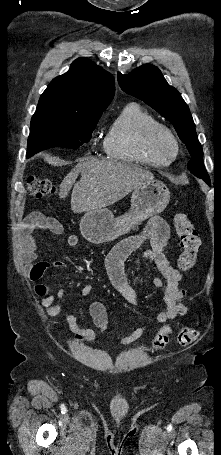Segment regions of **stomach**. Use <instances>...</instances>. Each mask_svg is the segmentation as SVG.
Listing matches in <instances>:
<instances>
[{"mask_svg": "<svg viewBox=\"0 0 221 455\" xmlns=\"http://www.w3.org/2000/svg\"><path fill=\"white\" fill-rule=\"evenodd\" d=\"M170 196L164 183L147 180L134 189L129 212L114 217L105 207L88 210L80 220V231L90 243L111 242L136 229L143 220L162 212L168 205Z\"/></svg>", "mask_w": 221, "mask_h": 455, "instance_id": "stomach-1", "label": "stomach"}]
</instances>
